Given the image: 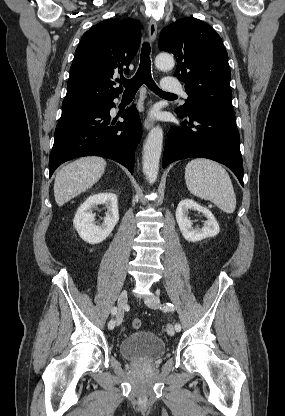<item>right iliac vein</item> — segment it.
<instances>
[{
	"label": "right iliac vein",
	"instance_id": "63e3f726",
	"mask_svg": "<svg viewBox=\"0 0 285 416\" xmlns=\"http://www.w3.org/2000/svg\"><path fill=\"white\" fill-rule=\"evenodd\" d=\"M127 299H128V292L126 290H123L117 300V305H118V312H117V316H116V324L117 326H119L124 318V310H125V306L127 304Z\"/></svg>",
	"mask_w": 285,
	"mask_h": 416
}]
</instances>
